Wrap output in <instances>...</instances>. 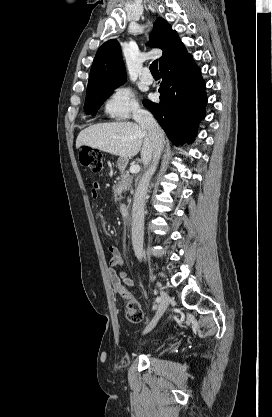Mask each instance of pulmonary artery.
<instances>
[{"instance_id":"pulmonary-artery-1","label":"pulmonary artery","mask_w":272,"mask_h":417,"mask_svg":"<svg viewBox=\"0 0 272 417\" xmlns=\"http://www.w3.org/2000/svg\"><path fill=\"white\" fill-rule=\"evenodd\" d=\"M140 79L145 84H152L153 82V77L150 75L147 69L143 70Z\"/></svg>"}]
</instances>
